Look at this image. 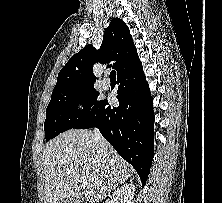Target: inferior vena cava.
<instances>
[{
  "instance_id": "1",
  "label": "inferior vena cava",
  "mask_w": 222,
  "mask_h": 203,
  "mask_svg": "<svg viewBox=\"0 0 222 203\" xmlns=\"http://www.w3.org/2000/svg\"><path fill=\"white\" fill-rule=\"evenodd\" d=\"M93 132H94L95 142L98 144V146L101 148V150L104 153H106L107 142L105 141V139L103 138V136L101 135V133L99 132L98 129L94 128Z\"/></svg>"
}]
</instances>
